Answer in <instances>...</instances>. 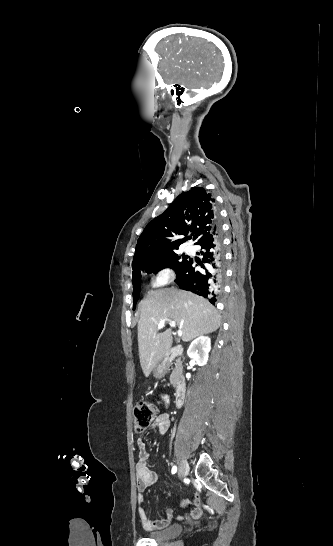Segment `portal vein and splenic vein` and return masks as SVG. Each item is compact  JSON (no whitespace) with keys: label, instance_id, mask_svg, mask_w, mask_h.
Instances as JSON below:
<instances>
[{"label":"portal vein and splenic vein","instance_id":"obj_1","mask_svg":"<svg viewBox=\"0 0 333 546\" xmlns=\"http://www.w3.org/2000/svg\"><path fill=\"white\" fill-rule=\"evenodd\" d=\"M166 322H169L170 325H171L172 327H175V326H176V322H175V321H173V320H171V319H169V318H164V319H162V320L159 321V323H158V329H162V328L165 326V323H166ZM178 336H179V337L182 336V331H178Z\"/></svg>","mask_w":333,"mask_h":546}]
</instances>
